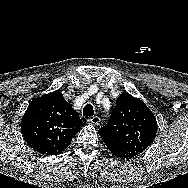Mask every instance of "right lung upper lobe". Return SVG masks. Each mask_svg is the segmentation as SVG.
Masks as SVG:
<instances>
[{
  "mask_svg": "<svg viewBox=\"0 0 188 188\" xmlns=\"http://www.w3.org/2000/svg\"><path fill=\"white\" fill-rule=\"evenodd\" d=\"M83 125L63 94L54 91L29 104L21 122V132L35 151L57 155L67 148Z\"/></svg>",
  "mask_w": 188,
  "mask_h": 188,
  "instance_id": "cb5924a9",
  "label": "right lung upper lobe"
}]
</instances>
